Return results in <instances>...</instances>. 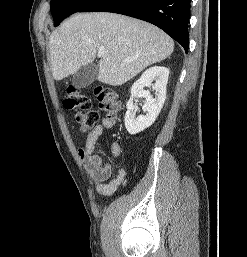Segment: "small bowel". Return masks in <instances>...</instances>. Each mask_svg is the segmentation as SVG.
I'll return each mask as SVG.
<instances>
[{"label":"small bowel","mask_w":247,"mask_h":257,"mask_svg":"<svg viewBox=\"0 0 247 257\" xmlns=\"http://www.w3.org/2000/svg\"><path fill=\"white\" fill-rule=\"evenodd\" d=\"M115 125L112 119H104L101 124L95 126L87 135L85 146L78 153L91 178L95 181L98 194L103 196L112 195L125 178V170L117 168L116 177L111 179L112 168L105 163L103 158L96 153V142L104 130ZM121 146L117 141L111 144L112 157L117 160L121 155Z\"/></svg>","instance_id":"small-bowel-1"}]
</instances>
